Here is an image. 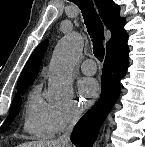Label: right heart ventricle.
Here are the masks:
<instances>
[{"instance_id":"right-heart-ventricle-1","label":"right heart ventricle","mask_w":145,"mask_h":147,"mask_svg":"<svg viewBox=\"0 0 145 147\" xmlns=\"http://www.w3.org/2000/svg\"><path fill=\"white\" fill-rule=\"evenodd\" d=\"M56 107L45 100L41 87L36 86L28 95L24 108V131L36 138L54 135L53 114Z\"/></svg>"}]
</instances>
